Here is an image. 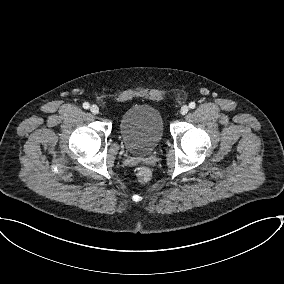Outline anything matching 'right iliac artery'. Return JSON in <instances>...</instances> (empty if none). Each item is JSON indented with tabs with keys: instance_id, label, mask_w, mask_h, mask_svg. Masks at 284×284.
Masks as SVG:
<instances>
[{
	"instance_id": "1",
	"label": "right iliac artery",
	"mask_w": 284,
	"mask_h": 284,
	"mask_svg": "<svg viewBox=\"0 0 284 284\" xmlns=\"http://www.w3.org/2000/svg\"><path fill=\"white\" fill-rule=\"evenodd\" d=\"M89 106H90L89 103H87V102L83 103V108H84V109H88Z\"/></svg>"
}]
</instances>
